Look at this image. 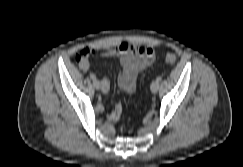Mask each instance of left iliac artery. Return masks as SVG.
Wrapping results in <instances>:
<instances>
[{
    "label": "left iliac artery",
    "mask_w": 243,
    "mask_h": 167,
    "mask_svg": "<svg viewBox=\"0 0 243 167\" xmlns=\"http://www.w3.org/2000/svg\"><path fill=\"white\" fill-rule=\"evenodd\" d=\"M161 79H162V78H161L160 76H158V77L156 78V81H157V82H160Z\"/></svg>",
    "instance_id": "obj_1"
}]
</instances>
